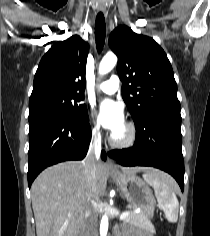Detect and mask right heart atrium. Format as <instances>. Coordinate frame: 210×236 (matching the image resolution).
I'll use <instances>...</instances> for the list:
<instances>
[{
    "label": "right heart atrium",
    "instance_id": "right-heart-atrium-1",
    "mask_svg": "<svg viewBox=\"0 0 210 236\" xmlns=\"http://www.w3.org/2000/svg\"><path fill=\"white\" fill-rule=\"evenodd\" d=\"M89 128H90L91 135L94 138L98 139L101 137V125L93 117H91L89 120Z\"/></svg>",
    "mask_w": 210,
    "mask_h": 236
}]
</instances>
